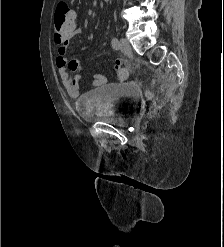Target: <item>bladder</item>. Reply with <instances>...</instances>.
<instances>
[{
  "label": "bladder",
  "instance_id": "1",
  "mask_svg": "<svg viewBox=\"0 0 224 247\" xmlns=\"http://www.w3.org/2000/svg\"><path fill=\"white\" fill-rule=\"evenodd\" d=\"M139 90L130 83H108L90 93L83 117L90 122L131 126L138 114Z\"/></svg>",
  "mask_w": 224,
  "mask_h": 247
}]
</instances>
